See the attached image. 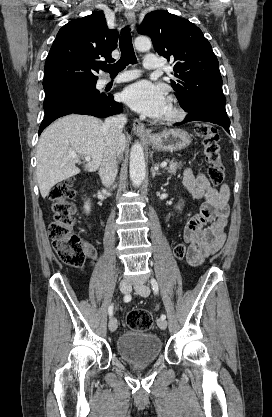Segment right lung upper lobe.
<instances>
[{"label":"right lung upper lobe","instance_id":"1","mask_svg":"<svg viewBox=\"0 0 272 417\" xmlns=\"http://www.w3.org/2000/svg\"><path fill=\"white\" fill-rule=\"evenodd\" d=\"M118 32L106 26L102 12L74 19L58 32L45 63L44 90L96 83L95 72L112 62Z\"/></svg>","mask_w":272,"mask_h":417}]
</instances>
